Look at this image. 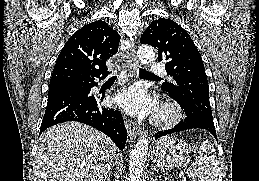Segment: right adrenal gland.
<instances>
[{
  "mask_svg": "<svg viewBox=\"0 0 259 181\" xmlns=\"http://www.w3.org/2000/svg\"><path fill=\"white\" fill-rule=\"evenodd\" d=\"M111 180V171L108 172V175L106 176L104 181H110Z\"/></svg>",
  "mask_w": 259,
  "mask_h": 181,
  "instance_id": "1",
  "label": "right adrenal gland"
}]
</instances>
